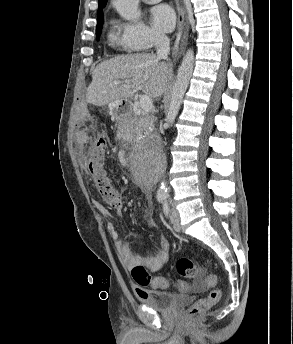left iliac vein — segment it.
Returning <instances> with one entry per match:
<instances>
[{"instance_id": "4c4485c4", "label": "left iliac vein", "mask_w": 293, "mask_h": 344, "mask_svg": "<svg viewBox=\"0 0 293 344\" xmlns=\"http://www.w3.org/2000/svg\"><path fill=\"white\" fill-rule=\"evenodd\" d=\"M170 220L175 231L179 232L181 230L180 217L179 212L175 208H171L170 210Z\"/></svg>"}]
</instances>
